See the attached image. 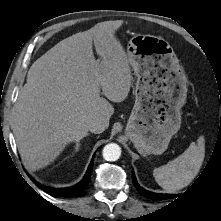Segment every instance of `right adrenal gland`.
<instances>
[{
  "label": "right adrenal gland",
  "instance_id": "right-adrenal-gland-1",
  "mask_svg": "<svg viewBox=\"0 0 221 221\" xmlns=\"http://www.w3.org/2000/svg\"><path fill=\"white\" fill-rule=\"evenodd\" d=\"M89 134H86V136H88ZM80 148V141L76 142V147H75V152H77Z\"/></svg>",
  "mask_w": 221,
  "mask_h": 221
}]
</instances>
